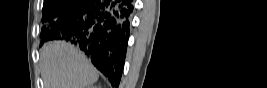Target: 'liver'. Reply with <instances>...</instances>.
Returning a JSON list of instances; mask_svg holds the SVG:
<instances>
[{
    "label": "liver",
    "mask_w": 267,
    "mask_h": 88,
    "mask_svg": "<svg viewBox=\"0 0 267 88\" xmlns=\"http://www.w3.org/2000/svg\"><path fill=\"white\" fill-rule=\"evenodd\" d=\"M40 64L45 88H86L99 77L84 54L64 41L44 44L40 50Z\"/></svg>",
    "instance_id": "1"
}]
</instances>
